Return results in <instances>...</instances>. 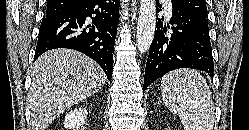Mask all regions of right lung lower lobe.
Here are the masks:
<instances>
[{
	"label": "right lung lower lobe",
	"mask_w": 249,
	"mask_h": 130,
	"mask_svg": "<svg viewBox=\"0 0 249 130\" xmlns=\"http://www.w3.org/2000/svg\"><path fill=\"white\" fill-rule=\"evenodd\" d=\"M118 22V0H81L67 11L46 16L40 26L35 60L47 50L74 49L95 60L111 82Z\"/></svg>",
	"instance_id": "1"
}]
</instances>
